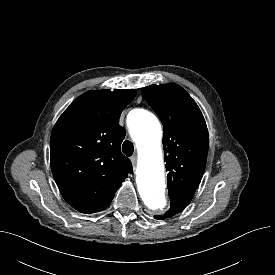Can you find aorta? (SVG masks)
I'll return each mask as SVG.
<instances>
[{
	"label": "aorta",
	"mask_w": 275,
	"mask_h": 275,
	"mask_svg": "<svg viewBox=\"0 0 275 275\" xmlns=\"http://www.w3.org/2000/svg\"><path fill=\"white\" fill-rule=\"evenodd\" d=\"M131 134L140 157L137 186L150 213L161 215L168 206L165 197L164 162L161 150L162 130L158 119L150 112H131Z\"/></svg>",
	"instance_id": "obj_1"
}]
</instances>
